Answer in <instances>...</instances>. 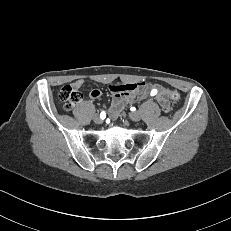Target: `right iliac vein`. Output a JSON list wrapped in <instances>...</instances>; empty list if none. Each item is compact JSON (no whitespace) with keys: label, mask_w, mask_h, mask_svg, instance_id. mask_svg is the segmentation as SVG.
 I'll use <instances>...</instances> for the list:
<instances>
[{"label":"right iliac vein","mask_w":231,"mask_h":231,"mask_svg":"<svg viewBox=\"0 0 231 231\" xmlns=\"http://www.w3.org/2000/svg\"><path fill=\"white\" fill-rule=\"evenodd\" d=\"M93 121H94V123H96V124H101V123H102V119H101L98 115H95V116L93 117Z\"/></svg>","instance_id":"right-iliac-vein-1"}]
</instances>
